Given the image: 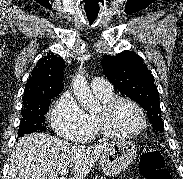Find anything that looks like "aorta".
Returning <instances> with one entry per match:
<instances>
[{"instance_id":"aorta-1","label":"aorta","mask_w":183,"mask_h":179,"mask_svg":"<svg viewBox=\"0 0 183 179\" xmlns=\"http://www.w3.org/2000/svg\"><path fill=\"white\" fill-rule=\"evenodd\" d=\"M73 93L84 110H93L98 102L92 95L83 72H78L72 80Z\"/></svg>"}]
</instances>
